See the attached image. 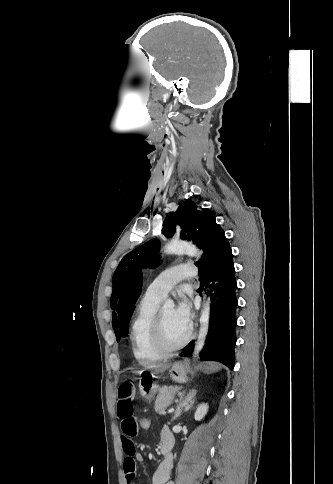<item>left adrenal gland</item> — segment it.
<instances>
[{
    "mask_svg": "<svg viewBox=\"0 0 333 484\" xmlns=\"http://www.w3.org/2000/svg\"><path fill=\"white\" fill-rule=\"evenodd\" d=\"M197 391L192 389L189 391V393L184 396L182 395L179 401V404L177 406V409L175 411V415L173 416L171 421H174L178 417H180L181 413L183 411H188L194 404L195 402V396H196Z\"/></svg>",
    "mask_w": 333,
    "mask_h": 484,
    "instance_id": "a2214340",
    "label": "left adrenal gland"
}]
</instances>
